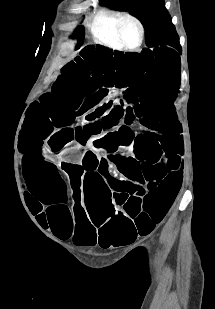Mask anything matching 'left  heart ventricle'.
Returning <instances> with one entry per match:
<instances>
[{"label":"left heart ventricle","instance_id":"1","mask_svg":"<svg viewBox=\"0 0 215 309\" xmlns=\"http://www.w3.org/2000/svg\"><path fill=\"white\" fill-rule=\"evenodd\" d=\"M119 33L122 34V39L124 41L123 45L132 46V45L136 44L138 35H137V29L133 24L124 23L119 28Z\"/></svg>","mask_w":215,"mask_h":309}]
</instances>
